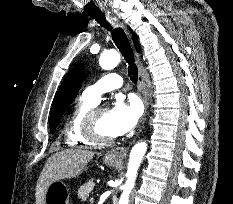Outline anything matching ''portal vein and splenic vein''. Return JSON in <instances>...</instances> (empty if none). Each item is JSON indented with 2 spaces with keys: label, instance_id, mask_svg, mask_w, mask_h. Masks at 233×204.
<instances>
[{
  "label": "portal vein and splenic vein",
  "instance_id": "obj_1",
  "mask_svg": "<svg viewBox=\"0 0 233 204\" xmlns=\"http://www.w3.org/2000/svg\"><path fill=\"white\" fill-rule=\"evenodd\" d=\"M90 200L93 202V201H94V198L92 197Z\"/></svg>",
  "mask_w": 233,
  "mask_h": 204
}]
</instances>
